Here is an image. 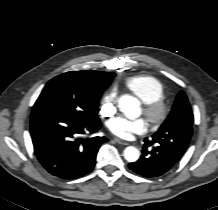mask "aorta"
I'll return each mask as SVG.
<instances>
[{
    "instance_id": "762f6f07",
    "label": "aorta",
    "mask_w": 218,
    "mask_h": 210,
    "mask_svg": "<svg viewBox=\"0 0 218 210\" xmlns=\"http://www.w3.org/2000/svg\"><path fill=\"white\" fill-rule=\"evenodd\" d=\"M120 111L129 119H135L140 116V102L137 98L131 95H123L118 101ZM124 158L128 162H135L139 159L140 152L133 146H128L124 150Z\"/></svg>"
}]
</instances>
